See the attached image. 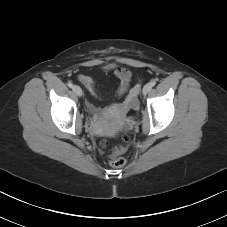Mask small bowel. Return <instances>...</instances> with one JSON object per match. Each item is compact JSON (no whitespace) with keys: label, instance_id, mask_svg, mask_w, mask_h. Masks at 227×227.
I'll return each mask as SVG.
<instances>
[{"label":"small bowel","instance_id":"1","mask_svg":"<svg viewBox=\"0 0 227 227\" xmlns=\"http://www.w3.org/2000/svg\"><path fill=\"white\" fill-rule=\"evenodd\" d=\"M108 70H113L115 76L119 80L118 95H124L130 90L131 84V72L120 66H109ZM79 81L89 90L92 95H96V87L93 79L87 75H79ZM131 95L134 94V91L131 90Z\"/></svg>","mask_w":227,"mask_h":227}]
</instances>
